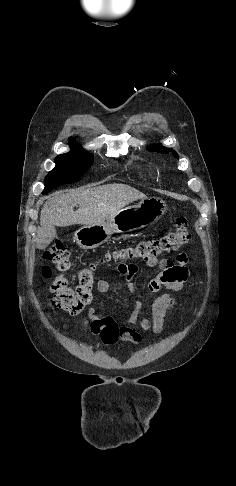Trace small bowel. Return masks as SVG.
<instances>
[{
  "instance_id": "1",
  "label": "small bowel",
  "mask_w": 236,
  "mask_h": 486,
  "mask_svg": "<svg viewBox=\"0 0 236 486\" xmlns=\"http://www.w3.org/2000/svg\"><path fill=\"white\" fill-rule=\"evenodd\" d=\"M187 262L188 258L184 253L176 257V263L169 259L158 260L157 258L146 261L149 267L158 266L160 268V273L149 284L153 299L146 309L150 312L151 318L141 316L145 307L142 302L136 300L129 318L122 324L111 316L99 315L96 308L91 307L83 318L84 328L94 335L101 336L106 344H113L118 340L139 344L143 333L150 330L155 333L161 332L175 306L172 292L183 290L184 283L189 276ZM118 271L127 279V288L135 297V286L131 279L137 274L138 266L134 263L120 264ZM109 288V283L104 279H100L96 283L97 292L100 294L108 292ZM162 288L168 292L160 294ZM135 325L138 326V330L133 328Z\"/></svg>"
}]
</instances>
